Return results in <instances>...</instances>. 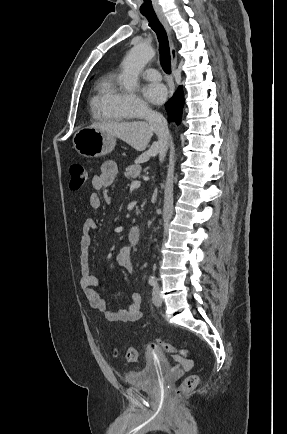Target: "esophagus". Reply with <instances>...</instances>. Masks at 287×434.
I'll return each instance as SVG.
<instances>
[{
  "label": "esophagus",
  "mask_w": 287,
  "mask_h": 434,
  "mask_svg": "<svg viewBox=\"0 0 287 434\" xmlns=\"http://www.w3.org/2000/svg\"><path fill=\"white\" fill-rule=\"evenodd\" d=\"M157 16L159 18V20L161 21V23L163 24L164 28L166 29L167 33L169 34V36L171 35V30H170V26L164 16V14L162 12H158ZM171 62H172V68L173 70L176 68L177 65V53H176V49L173 45V43H171Z\"/></svg>",
  "instance_id": "1"
}]
</instances>
